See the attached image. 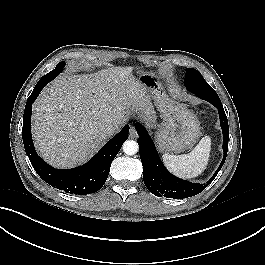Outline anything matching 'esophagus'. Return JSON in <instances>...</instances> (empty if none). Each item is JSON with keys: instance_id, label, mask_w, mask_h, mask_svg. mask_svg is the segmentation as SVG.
Instances as JSON below:
<instances>
[{"instance_id": "obj_1", "label": "esophagus", "mask_w": 265, "mask_h": 265, "mask_svg": "<svg viewBox=\"0 0 265 265\" xmlns=\"http://www.w3.org/2000/svg\"><path fill=\"white\" fill-rule=\"evenodd\" d=\"M129 137L132 139L137 137V131L133 126L130 127Z\"/></svg>"}]
</instances>
